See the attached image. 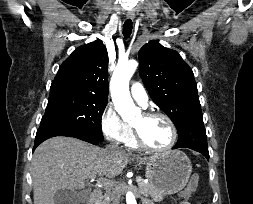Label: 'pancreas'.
Returning a JSON list of instances; mask_svg holds the SVG:
<instances>
[{
	"instance_id": "pancreas-1",
	"label": "pancreas",
	"mask_w": 253,
	"mask_h": 204,
	"mask_svg": "<svg viewBox=\"0 0 253 204\" xmlns=\"http://www.w3.org/2000/svg\"><path fill=\"white\" fill-rule=\"evenodd\" d=\"M138 187H139L140 193L145 196L155 193V189H154L153 185L150 183H144L143 181H141L138 183ZM98 204H108L107 198L105 197V198L101 199Z\"/></svg>"
}]
</instances>
